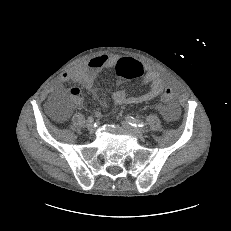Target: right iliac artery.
Listing matches in <instances>:
<instances>
[{
	"instance_id": "right-iliac-artery-1",
	"label": "right iliac artery",
	"mask_w": 231,
	"mask_h": 231,
	"mask_svg": "<svg viewBox=\"0 0 231 231\" xmlns=\"http://www.w3.org/2000/svg\"><path fill=\"white\" fill-rule=\"evenodd\" d=\"M87 121L88 122H93V117H88Z\"/></svg>"
}]
</instances>
